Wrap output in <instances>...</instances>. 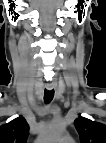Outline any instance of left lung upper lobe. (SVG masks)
Returning a JSON list of instances; mask_svg holds the SVG:
<instances>
[{
    "instance_id": "1",
    "label": "left lung upper lobe",
    "mask_w": 106,
    "mask_h": 143,
    "mask_svg": "<svg viewBox=\"0 0 106 143\" xmlns=\"http://www.w3.org/2000/svg\"><path fill=\"white\" fill-rule=\"evenodd\" d=\"M81 143H106V125L79 116L74 121Z\"/></svg>"
}]
</instances>
